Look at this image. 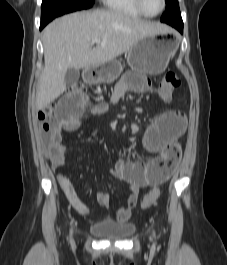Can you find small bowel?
<instances>
[{
    "label": "small bowel",
    "mask_w": 227,
    "mask_h": 265,
    "mask_svg": "<svg viewBox=\"0 0 227 265\" xmlns=\"http://www.w3.org/2000/svg\"><path fill=\"white\" fill-rule=\"evenodd\" d=\"M150 88V82L140 76L139 72H127L117 83L112 94V101L117 103L128 92L144 93ZM86 91L82 87H69V91H63V96L55 105V116L58 123L51 127L47 142L44 144V152L49 158L53 170H58L65 164V146L62 144V132H73L79 129L81 118L85 112L101 114L104 110L102 104L89 106L92 99H88ZM185 116L177 111H166L158 115L148 126L144 133L143 145L152 154H164L170 148H179L176 141L185 130ZM110 174L129 186V195L126 204L116 211V219L120 223H126L131 217L132 209L138 202L140 190L148 186H157L164 182L170 174L162 170L157 158L148 162H125L118 160L111 169ZM60 188L73 208L82 215H88L89 209L79 197L72 181L63 174L57 175ZM97 202L102 207L110 206V195L107 192L96 194ZM107 219L105 223H111Z\"/></svg>",
    "instance_id": "obj_1"
}]
</instances>
